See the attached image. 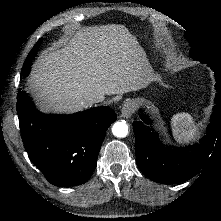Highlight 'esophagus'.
Instances as JSON below:
<instances>
[{"instance_id":"obj_1","label":"esophagus","mask_w":221,"mask_h":221,"mask_svg":"<svg viewBox=\"0 0 221 221\" xmlns=\"http://www.w3.org/2000/svg\"><path fill=\"white\" fill-rule=\"evenodd\" d=\"M135 112V104L132 100H127L121 109V116L123 118H130Z\"/></svg>"}]
</instances>
